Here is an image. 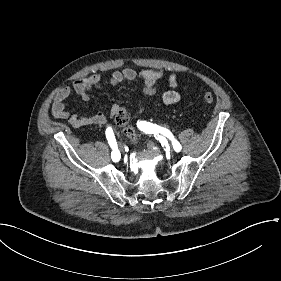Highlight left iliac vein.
I'll use <instances>...</instances> for the list:
<instances>
[{
    "instance_id": "left-iliac-vein-1",
    "label": "left iliac vein",
    "mask_w": 281,
    "mask_h": 281,
    "mask_svg": "<svg viewBox=\"0 0 281 281\" xmlns=\"http://www.w3.org/2000/svg\"><path fill=\"white\" fill-rule=\"evenodd\" d=\"M167 147L170 149V148H171V145H168Z\"/></svg>"
}]
</instances>
